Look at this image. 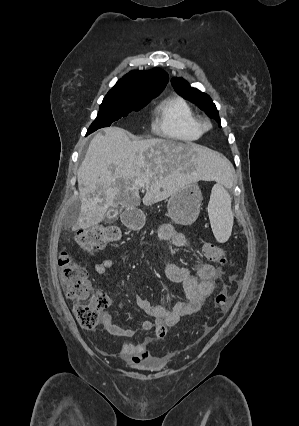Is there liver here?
I'll use <instances>...</instances> for the list:
<instances>
[{
  "label": "liver",
  "mask_w": 299,
  "mask_h": 426,
  "mask_svg": "<svg viewBox=\"0 0 299 426\" xmlns=\"http://www.w3.org/2000/svg\"><path fill=\"white\" fill-rule=\"evenodd\" d=\"M231 163L206 147L168 139L130 140L126 131L108 127L96 134L78 172L80 215L76 228L99 224L110 207L134 208L145 184V205L165 200L200 178L224 180Z\"/></svg>",
  "instance_id": "obj_1"
}]
</instances>
